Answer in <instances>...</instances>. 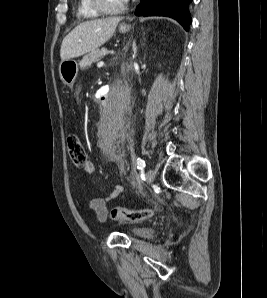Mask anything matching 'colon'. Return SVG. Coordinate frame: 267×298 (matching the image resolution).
<instances>
[{"mask_svg":"<svg viewBox=\"0 0 267 298\" xmlns=\"http://www.w3.org/2000/svg\"><path fill=\"white\" fill-rule=\"evenodd\" d=\"M67 151L73 164L82 167L87 161V152L78 134H71L67 139ZM152 209H127L115 207L110 211V218L115 221L138 222L153 216Z\"/></svg>","mask_w":267,"mask_h":298,"instance_id":"colon-1","label":"colon"}]
</instances>
